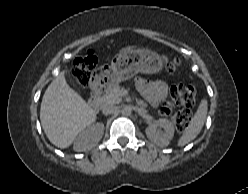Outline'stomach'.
I'll use <instances>...</instances> for the list:
<instances>
[{"label":"stomach","instance_id":"0dacf381","mask_svg":"<svg viewBox=\"0 0 248 194\" xmlns=\"http://www.w3.org/2000/svg\"><path fill=\"white\" fill-rule=\"evenodd\" d=\"M163 68V60L149 49H137L115 55L111 65L103 70L107 87H116L137 73L156 74Z\"/></svg>","mask_w":248,"mask_h":194}]
</instances>
